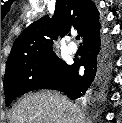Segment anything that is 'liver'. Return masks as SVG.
I'll return each instance as SVG.
<instances>
[{"label":"liver","mask_w":122,"mask_h":123,"mask_svg":"<svg viewBox=\"0 0 122 123\" xmlns=\"http://www.w3.org/2000/svg\"><path fill=\"white\" fill-rule=\"evenodd\" d=\"M9 123H84V114L66 96L39 91L24 96L13 108Z\"/></svg>","instance_id":"6515ba94"}]
</instances>
